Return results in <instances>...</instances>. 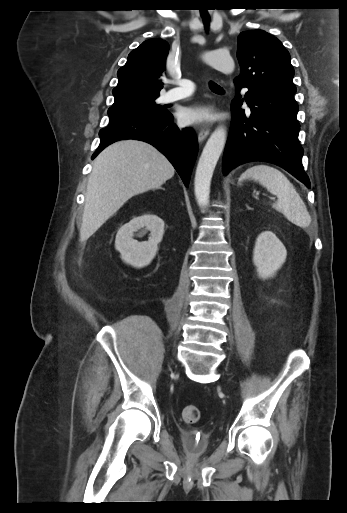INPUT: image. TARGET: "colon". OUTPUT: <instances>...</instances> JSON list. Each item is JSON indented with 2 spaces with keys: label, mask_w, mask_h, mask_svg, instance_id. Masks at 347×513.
I'll return each instance as SVG.
<instances>
[{
  "label": "colon",
  "mask_w": 347,
  "mask_h": 513,
  "mask_svg": "<svg viewBox=\"0 0 347 513\" xmlns=\"http://www.w3.org/2000/svg\"><path fill=\"white\" fill-rule=\"evenodd\" d=\"M200 416V410L195 405H186L182 409V418L188 424L196 423L199 421Z\"/></svg>",
  "instance_id": "5ec220e1"
}]
</instances>
